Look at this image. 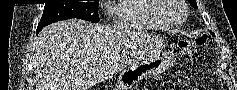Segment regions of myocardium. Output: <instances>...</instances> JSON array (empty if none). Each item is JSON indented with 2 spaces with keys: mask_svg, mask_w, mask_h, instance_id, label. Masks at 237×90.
Returning a JSON list of instances; mask_svg holds the SVG:
<instances>
[{
  "mask_svg": "<svg viewBox=\"0 0 237 90\" xmlns=\"http://www.w3.org/2000/svg\"><path fill=\"white\" fill-rule=\"evenodd\" d=\"M155 3H160L162 8H157V11H153V18L160 26L167 31L180 30L187 20V5L185 0H155ZM178 4V5H177ZM169 15H182L180 21L173 25H167L162 18H168Z\"/></svg>",
  "mask_w": 237,
  "mask_h": 90,
  "instance_id": "myocardium-1",
  "label": "myocardium"
}]
</instances>
